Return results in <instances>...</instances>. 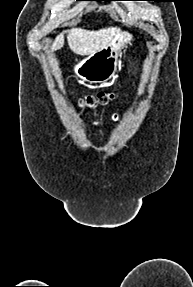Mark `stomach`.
<instances>
[{"label":"stomach","mask_w":193,"mask_h":287,"mask_svg":"<svg viewBox=\"0 0 193 287\" xmlns=\"http://www.w3.org/2000/svg\"><path fill=\"white\" fill-rule=\"evenodd\" d=\"M132 35L120 32L100 51L77 61L73 67L75 75L89 83H105L114 77L122 52L131 45Z\"/></svg>","instance_id":"1"}]
</instances>
